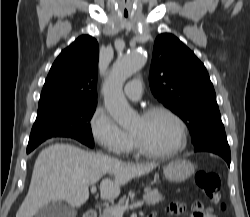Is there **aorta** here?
Segmentation results:
<instances>
[{
	"instance_id": "aorta-1",
	"label": "aorta",
	"mask_w": 250,
	"mask_h": 217,
	"mask_svg": "<svg viewBox=\"0 0 250 217\" xmlns=\"http://www.w3.org/2000/svg\"><path fill=\"white\" fill-rule=\"evenodd\" d=\"M145 63V54L130 51L120 56L113 64L110 75L103 85L105 108L121 126H129L135 119L124 94L123 85Z\"/></svg>"
}]
</instances>
